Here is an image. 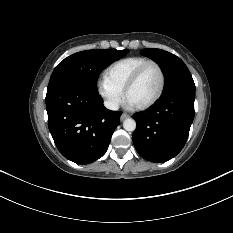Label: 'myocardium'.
<instances>
[{"label":"myocardium","mask_w":233,"mask_h":233,"mask_svg":"<svg viewBox=\"0 0 233 233\" xmlns=\"http://www.w3.org/2000/svg\"><path fill=\"white\" fill-rule=\"evenodd\" d=\"M155 66L160 74V87L158 89V92L156 93V95L149 100L148 102L139 105V106H135L137 109L139 110H144L147 109L149 107H151L152 105H154L162 96L164 89H165V83H166V77H165V72L163 67L161 66L160 63H158L157 61L154 60H148L145 63H143L142 65H140L135 71L134 73L131 75V77L129 78V80L127 81L125 87H124V96L127 99L128 93L131 90V88L136 84V82L139 80V78L141 77V75L144 73V71L146 70L147 67L149 66Z\"/></svg>","instance_id":"1"}]
</instances>
